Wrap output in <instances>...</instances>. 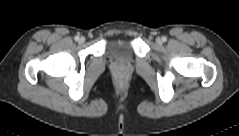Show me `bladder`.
<instances>
[{"label":"bladder","mask_w":239,"mask_h":136,"mask_svg":"<svg viewBox=\"0 0 239 136\" xmlns=\"http://www.w3.org/2000/svg\"><path fill=\"white\" fill-rule=\"evenodd\" d=\"M132 40L127 38H112L107 43V52L111 57L123 58L131 55Z\"/></svg>","instance_id":"bladder-1"}]
</instances>
